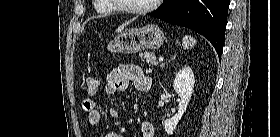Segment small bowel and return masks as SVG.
Masks as SVG:
<instances>
[{"instance_id": "obj_1", "label": "small bowel", "mask_w": 280, "mask_h": 137, "mask_svg": "<svg viewBox=\"0 0 280 137\" xmlns=\"http://www.w3.org/2000/svg\"><path fill=\"white\" fill-rule=\"evenodd\" d=\"M132 83L135 90L145 92L151 86V79L147 77L139 66L120 65L112 70L106 78L105 92L110 96H117L123 93L129 83ZM87 113L88 125L91 128L96 127L101 120V114L97 109V102L94 99H87L82 104ZM108 114L111 118L119 117V109L115 106L110 107ZM141 137H153L154 126L151 122L144 121L140 125ZM105 137H122L118 133H109Z\"/></svg>"}]
</instances>
